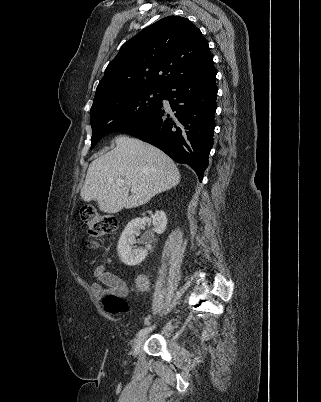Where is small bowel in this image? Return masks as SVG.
<instances>
[{"label":"small bowel","mask_w":321,"mask_h":402,"mask_svg":"<svg viewBox=\"0 0 321 402\" xmlns=\"http://www.w3.org/2000/svg\"><path fill=\"white\" fill-rule=\"evenodd\" d=\"M94 275L98 280V283L92 285V290L96 295L111 294L121 297L127 295L128 287L126 282L117 275L106 271L104 267H97L94 270ZM136 286L138 290L145 291L148 288L147 278L144 275H139L136 278Z\"/></svg>","instance_id":"c3829d8e"}]
</instances>
